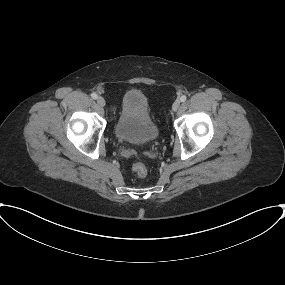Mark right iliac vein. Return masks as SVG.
Listing matches in <instances>:
<instances>
[{
    "instance_id": "obj_1",
    "label": "right iliac vein",
    "mask_w": 285,
    "mask_h": 285,
    "mask_svg": "<svg viewBox=\"0 0 285 285\" xmlns=\"http://www.w3.org/2000/svg\"><path fill=\"white\" fill-rule=\"evenodd\" d=\"M97 104H98V106H100V107H104L105 104H106V102H105V100H104L103 97H98V98H97Z\"/></svg>"
}]
</instances>
